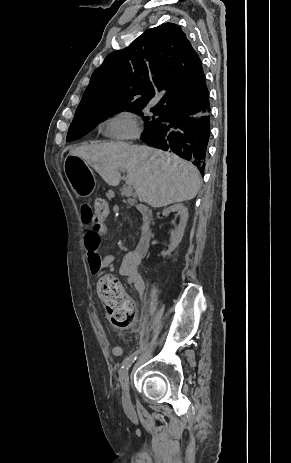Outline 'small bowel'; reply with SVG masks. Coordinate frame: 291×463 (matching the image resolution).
Listing matches in <instances>:
<instances>
[{
  "label": "small bowel",
  "instance_id": "c3829d8e",
  "mask_svg": "<svg viewBox=\"0 0 291 463\" xmlns=\"http://www.w3.org/2000/svg\"><path fill=\"white\" fill-rule=\"evenodd\" d=\"M107 217H96L94 223L83 235V249L88 265L89 272L96 276L103 269L111 267L115 262V257L112 254L101 255L99 247L101 236L107 231ZM141 263V256L136 251L127 252L122 260L120 273L126 278L129 285H132L140 296L143 295L145 286L142 277L138 272ZM114 356H120L122 350L115 346L112 349Z\"/></svg>",
  "mask_w": 291,
  "mask_h": 463
}]
</instances>
